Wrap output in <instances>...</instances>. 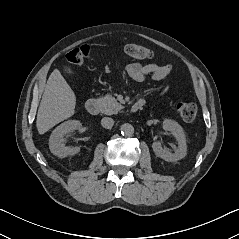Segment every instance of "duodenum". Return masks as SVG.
Masks as SVG:
<instances>
[{
    "mask_svg": "<svg viewBox=\"0 0 239 239\" xmlns=\"http://www.w3.org/2000/svg\"><path fill=\"white\" fill-rule=\"evenodd\" d=\"M144 101L143 100H137L134 102L131 106V111L132 112H137L142 109L144 106ZM86 110L88 113L95 115L99 112V102L96 98L92 97L86 102Z\"/></svg>",
    "mask_w": 239,
    "mask_h": 239,
    "instance_id": "obj_1",
    "label": "duodenum"
}]
</instances>
